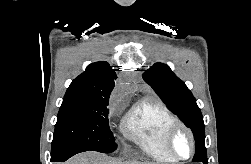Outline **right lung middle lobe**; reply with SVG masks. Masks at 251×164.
Here are the masks:
<instances>
[{"instance_id":"dd1d6c3e","label":"right lung middle lobe","mask_w":251,"mask_h":164,"mask_svg":"<svg viewBox=\"0 0 251 164\" xmlns=\"http://www.w3.org/2000/svg\"><path fill=\"white\" fill-rule=\"evenodd\" d=\"M107 101L64 98L58 113L51 153L76 148L111 153L116 149L109 128Z\"/></svg>"}]
</instances>
